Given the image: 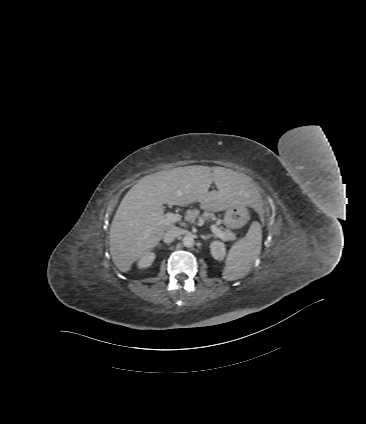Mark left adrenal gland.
Masks as SVG:
<instances>
[{
  "instance_id": "a2214340",
  "label": "left adrenal gland",
  "mask_w": 366,
  "mask_h": 424,
  "mask_svg": "<svg viewBox=\"0 0 366 424\" xmlns=\"http://www.w3.org/2000/svg\"><path fill=\"white\" fill-rule=\"evenodd\" d=\"M211 237H216V235L215 234H208V235H206V236H202V239H204V240H208L209 238H211Z\"/></svg>"
}]
</instances>
